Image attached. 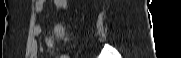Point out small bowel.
I'll list each match as a JSON object with an SVG mask.
<instances>
[{
  "label": "small bowel",
  "mask_w": 181,
  "mask_h": 58,
  "mask_svg": "<svg viewBox=\"0 0 181 58\" xmlns=\"http://www.w3.org/2000/svg\"><path fill=\"white\" fill-rule=\"evenodd\" d=\"M53 3L57 8L66 9L68 7L67 0H54ZM43 7H44V0H37L35 2L36 12H41L43 10ZM34 32L35 35H39L41 32V27L39 25H36ZM37 52H38V44L36 41H34L31 47V54L33 58H37Z\"/></svg>",
  "instance_id": "small-bowel-1"
}]
</instances>
